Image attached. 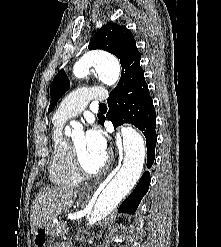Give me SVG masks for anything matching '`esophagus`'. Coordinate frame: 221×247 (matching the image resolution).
I'll use <instances>...</instances> for the list:
<instances>
[{"label": "esophagus", "instance_id": "obj_1", "mask_svg": "<svg viewBox=\"0 0 221 247\" xmlns=\"http://www.w3.org/2000/svg\"><path fill=\"white\" fill-rule=\"evenodd\" d=\"M92 185H88V186H85L83 189H82V192L83 193H88L92 190Z\"/></svg>", "mask_w": 221, "mask_h": 247}]
</instances>
